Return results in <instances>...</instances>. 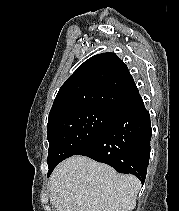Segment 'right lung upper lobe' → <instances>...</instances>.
Listing matches in <instances>:
<instances>
[{"instance_id": "right-lung-upper-lobe-1", "label": "right lung upper lobe", "mask_w": 179, "mask_h": 211, "mask_svg": "<svg viewBox=\"0 0 179 211\" xmlns=\"http://www.w3.org/2000/svg\"><path fill=\"white\" fill-rule=\"evenodd\" d=\"M138 93L127 66L114 53L86 60L61 86L48 124L68 114L103 108L118 110Z\"/></svg>"}]
</instances>
